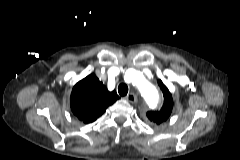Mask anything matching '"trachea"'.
Listing matches in <instances>:
<instances>
[{
	"label": "trachea",
	"mask_w": 240,
	"mask_h": 160,
	"mask_svg": "<svg viewBox=\"0 0 240 160\" xmlns=\"http://www.w3.org/2000/svg\"><path fill=\"white\" fill-rule=\"evenodd\" d=\"M118 93L121 95V96H125L127 95L128 93V86L124 83H121L119 86H118Z\"/></svg>",
	"instance_id": "3493384b"
}]
</instances>
